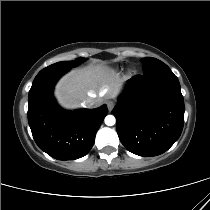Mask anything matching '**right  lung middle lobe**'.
Instances as JSON below:
<instances>
[{"mask_svg":"<svg viewBox=\"0 0 210 210\" xmlns=\"http://www.w3.org/2000/svg\"><path fill=\"white\" fill-rule=\"evenodd\" d=\"M85 59L82 57L77 58L74 61H61V62H57L55 64H52L50 66H48L49 68H54V67H66V68H71V67H75L77 66L79 63H81L82 61H84Z\"/></svg>","mask_w":210,"mask_h":210,"instance_id":"dd1d6c3e","label":"right lung middle lobe"}]
</instances>
